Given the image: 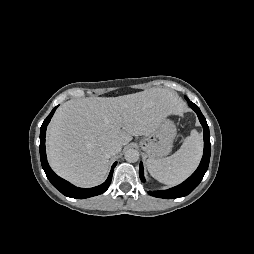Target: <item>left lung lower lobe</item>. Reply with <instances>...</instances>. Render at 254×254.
Wrapping results in <instances>:
<instances>
[{
	"instance_id": "obj_1",
	"label": "left lung lower lobe",
	"mask_w": 254,
	"mask_h": 254,
	"mask_svg": "<svg viewBox=\"0 0 254 254\" xmlns=\"http://www.w3.org/2000/svg\"><path fill=\"white\" fill-rule=\"evenodd\" d=\"M186 100L188 101L189 106L196 112L200 123L204 129V153L202 160L200 162L199 167L197 170L183 183L180 185L173 187L168 190L163 191H149L148 193L152 196L158 198H179L190 194L201 182L203 179L204 174L206 173L209 165L210 154H211V144H210V133L209 127L207 125L206 119L204 118L203 114L201 113L200 109L192 103L187 97ZM139 175L142 182H145L144 175H143V165L142 162L140 163Z\"/></svg>"
}]
</instances>
